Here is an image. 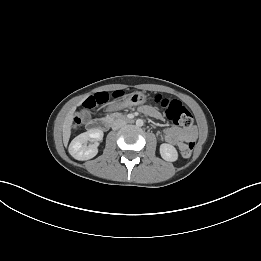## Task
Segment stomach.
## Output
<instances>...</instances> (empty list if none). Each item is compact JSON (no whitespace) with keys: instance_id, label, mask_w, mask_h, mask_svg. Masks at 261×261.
Wrapping results in <instances>:
<instances>
[{"instance_id":"obj_1","label":"stomach","mask_w":261,"mask_h":261,"mask_svg":"<svg viewBox=\"0 0 261 261\" xmlns=\"http://www.w3.org/2000/svg\"><path fill=\"white\" fill-rule=\"evenodd\" d=\"M146 101V96L141 92H135L130 94L125 98L121 103L112 104L109 107V110H116L122 107H131L144 103Z\"/></svg>"}]
</instances>
